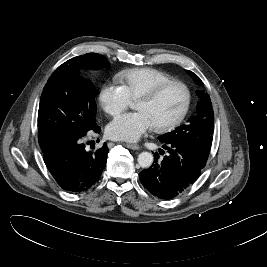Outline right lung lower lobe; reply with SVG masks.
<instances>
[{
  "instance_id": "right-lung-lower-lobe-1",
  "label": "right lung lower lobe",
  "mask_w": 267,
  "mask_h": 267,
  "mask_svg": "<svg viewBox=\"0 0 267 267\" xmlns=\"http://www.w3.org/2000/svg\"><path fill=\"white\" fill-rule=\"evenodd\" d=\"M95 126L90 133H99ZM85 134L66 135L44 151V162L61 188L79 193L88 190L99 180L109 152L106 143L88 150L83 143ZM90 143V142H89Z\"/></svg>"
}]
</instances>
